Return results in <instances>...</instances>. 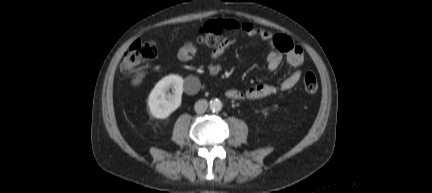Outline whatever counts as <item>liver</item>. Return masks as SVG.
I'll list each match as a JSON object with an SVG mask.
<instances>
[{"label": "liver", "mask_w": 432, "mask_h": 193, "mask_svg": "<svg viewBox=\"0 0 432 193\" xmlns=\"http://www.w3.org/2000/svg\"><path fill=\"white\" fill-rule=\"evenodd\" d=\"M143 77H144L143 73L138 74L137 77L132 81V84L134 86L140 84Z\"/></svg>", "instance_id": "1"}]
</instances>
